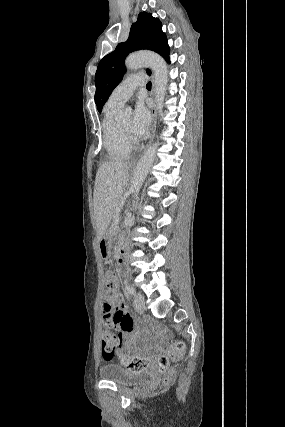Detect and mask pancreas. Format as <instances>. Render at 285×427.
<instances>
[{
	"label": "pancreas",
	"mask_w": 285,
	"mask_h": 427,
	"mask_svg": "<svg viewBox=\"0 0 285 427\" xmlns=\"http://www.w3.org/2000/svg\"><path fill=\"white\" fill-rule=\"evenodd\" d=\"M117 224H118V213L115 214L114 219H113V224H112V230H116L117 229Z\"/></svg>",
	"instance_id": "pancreas-1"
}]
</instances>
